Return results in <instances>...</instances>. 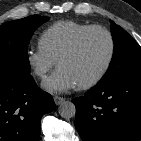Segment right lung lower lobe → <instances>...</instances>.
Instances as JSON below:
<instances>
[{"label": "right lung lower lobe", "instance_id": "98d812e1", "mask_svg": "<svg viewBox=\"0 0 141 141\" xmlns=\"http://www.w3.org/2000/svg\"><path fill=\"white\" fill-rule=\"evenodd\" d=\"M54 109L30 74L0 77V141H38L41 117Z\"/></svg>", "mask_w": 141, "mask_h": 141}]
</instances>
